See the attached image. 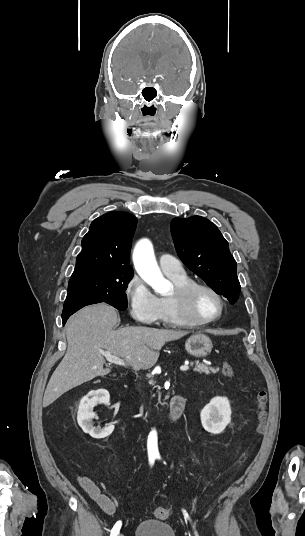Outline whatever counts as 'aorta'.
<instances>
[{"mask_svg": "<svg viewBox=\"0 0 305 536\" xmlns=\"http://www.w3.org/2000/svg\"><path fill=\"white\" fill-rule=\"evenodd\" d=\"M133 263L137 273L155 293L165 294L169 291L171 284L160 271L150 240L142 239L136 244L133 251Z\"/></svg>", "mask_w": 305, "mask_h": 536, "instance_id": "762f6f07", "label": "aorta"}]
</instances>
